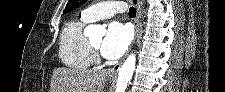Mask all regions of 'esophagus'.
I'll return each mask as SVG.
<instances>
[{
	"mask_svg": "<svg viewBox=\"0 0 225 92\" xmlns=\"http://www.w3.org/2000/svg\"><path fill=\"white\" fill-rule=\"evenodd\" d=\"M132 3L133 5L136 7V10H137V15H136V19H135V38H134V41L138 38L139 36V33H140V21H141V2L140 0H132ZM131 50V47L129 48L126 56L128 55L129 51ZM124 61V58L119 62L117 63L115 66H113L111 68V70L109 71V74L111 76H116L122 66V63Z\"/></svg>",
	"mask_w": 225,
	"mask_h": 92,
	"instance_id": "obj_1",
	"label": "esophagus"
}]
</instances>
